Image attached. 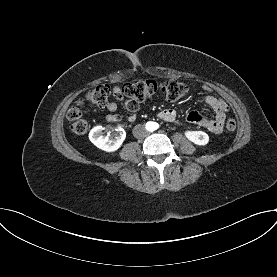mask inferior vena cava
I'll return each instance as SVG.
<instances>
[{
    "instance_id": "obj_1",
    "label": "inferior vena cava",
    "mask_w": 277,
    "mask_h": 277,
    "mask_svg": "<svg viewBox=\"0 0 277 277\" xmlns=\"http://www.w3.org/2000/svg\"><path fill=\"white\" fill-rule=\"evenodd\" d=\"M148 131L145 129V127L141 124L136 125L133 128V136L137 139H142L147 137Z\"/></svg>"
}]
</instances>
